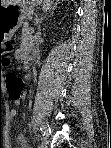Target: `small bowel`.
I'll use <instances>...</instances> for the list:
<instances>
[{"label": "small bowel", "instance_id": "small-bowel-1", "mask_svg": "<svg viewBox=\"0 0 111 148\" xmlns=\"http://www.w3.org/2000/svg\"><path fill=\"white\" fill-rule=\"evenodd\" d=\"M10 115L13 118L15 116V111L11 110ZM17 141L19 143V147H21V148H29L30 147L28 145V143L26 142V139L23 135L18 136ZM6 147H9V145L7 144Z\"/></svg>", "mask_w": 111, "mask_h": 148}]
</instances>
